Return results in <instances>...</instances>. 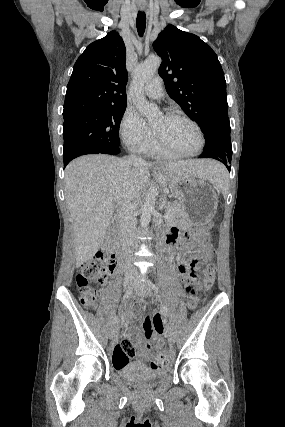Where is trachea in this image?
<instances>
[{
	"label": "trachea",
	"instance_id": "1",
	"mask_svg": "<svg viewBox=\"0 0 285 427\" xmlns=\"http://www.w3.org/2000/svg\"><path fill=\"white\" fill-rule=\"evenodd\" d=\"M136 27L140 37L143 36L146 28V15L145 12L139 11L136 20Z\"/></svg>",
	"mask_w": 285,
	"mask_h": 427
}]
</instances>
